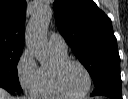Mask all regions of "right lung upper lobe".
<instances>
[{
  "instance_id": "right-lung-upper-lobe-1",
  "label": "right lung upper lobe",
  "mask_w": 128,
  "mask_h": 99,
  "mask_svg": "<svg viewBox=\"0 0 128 99\" xmlns=\"http://www.w3.org/2000/svg\"><path fill=\"white\" fill-rule=\"evenodd\" d=\"M25 13V0H0V48L23 50Z\"/></svg>"
}]
</instances>
